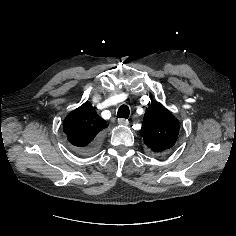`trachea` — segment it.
Listing matches in <instances>:
<instances>
[{
	"instance_id": "trachea-1",
	"label": "trachea",
	"mask_w": 236,
	"mask_h": 236,
	"mask_svg": "<svg viewBox=\"0 0 236 236\" xmlns=\"http://www.w3.org/2000/svg\"><path fill=\"white\" fill-rule=\"evenodd\" d=\"M129 114V107L127 105H121L118 109L117 117L127 119L129 117Z\"/></svg>"
}]
</instances>
